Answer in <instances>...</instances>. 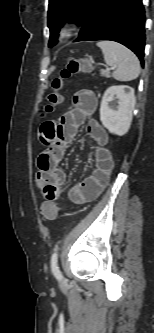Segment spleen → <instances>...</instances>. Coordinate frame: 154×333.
<instances>
[{"mask_svg": "<svg viewBox=\"0 0 154 333\" xmlns=\"http://www.w3.org/2000/svg\"><path fill=\"white\" fill-rule=\"evenodd\" d=\"M107 65L116 67L113 77L118 81H131L140 74V62L127 47L113 41H99Z\"/></svg>", "mask_w": 154, "mask_h": 333, "instance_id": "1", "label": "spleen"}]
</instances>
